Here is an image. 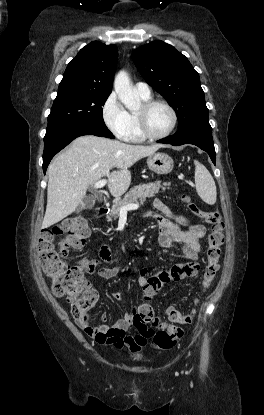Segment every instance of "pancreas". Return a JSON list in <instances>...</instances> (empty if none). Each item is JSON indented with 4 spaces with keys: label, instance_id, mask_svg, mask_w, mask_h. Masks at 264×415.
I'll use <instances>...</instances> for the list:
<instances>
[{
    "label": "pancreas",
    "instance_id": "pancreas-1",
    "mask_svg": "<svg viewBox=\"0 0 264 415\" xmlns=\"http://www.w3.org/2000/svg\"><path fill=\"white\" fill-rule=\"evenodd\" d=\"M166 186H170V183H163V185H161L160 181H156L153 183L141 184L132 188L122 200L115 202L107 216V220L112 221V218H118L121 207L132 203L138 204V201L144 202L146 198L154 197L160 189L165 191Z\"/></svg>",
    "mask_w": 264,
    "mask_h": 415
}]
</instances>
